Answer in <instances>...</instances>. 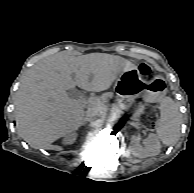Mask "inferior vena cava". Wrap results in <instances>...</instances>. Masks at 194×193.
<instances>
[{"instance_id": "602c4592", "label": "inferior vena cava", "mask_w": 194, "mask_h": 193, "mask_svg": "<svg viewBox=\"0 0 194 193\" xmlns=\"http://www.w3.org/2000/svg\"><path fill=\"white\" fill-rule=\"evenodd\" d=\"M97 115H99V109H97V108H89L86 111L85 119L86 120H90V119H92L93 117H95Z\"/></svg>"}]
</instances>
